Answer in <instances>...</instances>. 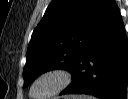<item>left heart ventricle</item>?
Returning <instances> with one entry per match:
<instances>
[{
    "instance_id": "b2bd125f",
    "label": "left heart ventricle",
    "mask_w": 128,
    "mask_h": 99,
    "mask_svg": "<svg viewBox=\"0 0 128 99\" xmlns=\"http://www.w3.org/2000/svg\"><path fill=\"white\" fill-rule=\"evenodd\" d=\"M58 83L59 79L57 77L49 76L43 78L36 84L33 94L35 96H44L51 92L58 85Z\"/></svg>"
}]
</instances>
